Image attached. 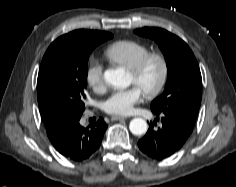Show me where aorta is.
<instances>
[{
	"label": "aorta",
	"instance_id": "1",
	"mask_svg": "<svg viewBox=\"0 0 236 187\" xmlns=\"http://www.w3.org/2000/svg\"><path fill=\"white\" fill-rule=\"evenodd\" d=\"M104 79L109 85L117 89L127 88L131 83L129 75L122 68L106 70ZM129 129L134 135H142L147 132L148 125L144 119L134 118L129 124Z\"/></svg>",
	"mask_w": 236,
	"mask_h": 187
}]
</instances>
